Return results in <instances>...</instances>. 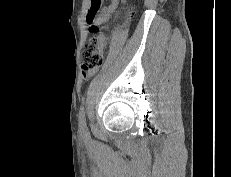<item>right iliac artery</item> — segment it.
<instances>
[{"label":"right iliac artery","mask_w":231,"mask_h":177,"mask_svg":"<svg viewBox=\"0 0 231 177\" xmlns=\"http://www.w3.org/2000/svg\"><path fill=\"white\" fill-rule=\"evenodd\" d=\"M79 124L80 128L83 134L87 133V126H86V119H85V112H84V107L82 106L80 108L79 112Z\"/></svg>","instance_id":"1"}]
</instances>
